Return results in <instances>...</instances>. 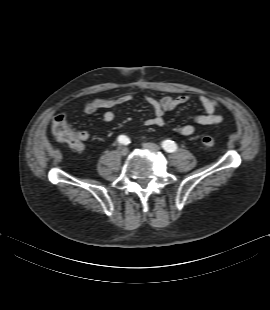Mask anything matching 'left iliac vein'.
I'll list each match as a JSON object with an SVG mask.
<instances>
[{
    "label": "left iliac vein",
    "mask_w": 270,
    "mask_h": 310,
    "mask_svg": "<svg viewBox=\"0 0 270 310\" xmlns=\"http://www.w3.org/2000/svg\"><path fill=\"white\" fill-rule=\"evenodd\" d=\"M143 147L149 150L158 151L160 150V147L154 143L146 142L143 143Z\"/></svg>",
    "instance_id": "4c4485c4"
}]
</instances>
